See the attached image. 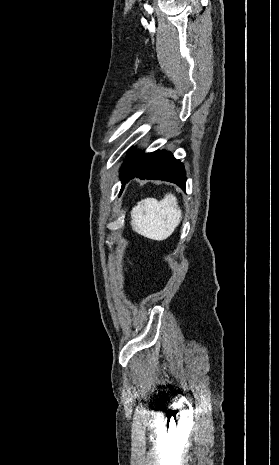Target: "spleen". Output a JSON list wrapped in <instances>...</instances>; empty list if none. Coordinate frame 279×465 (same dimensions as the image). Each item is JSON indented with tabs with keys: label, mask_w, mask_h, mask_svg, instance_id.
Wrapping results in <instances>:
<instances>
[{
	"label": "spleen",
	"mask_w": 279,
	"mask_h": 465,
	"mask_svg": "<svg viewBox=\"0 0 279 465\" xmlns=\"http://www.w3.org/2000/svg\"><path fill=\"white\" fill-rule=\"evenodd\" d=\"M131 225L134 231L149 239L165 240L179 225L182 212L173 194L165 195L160 202L146 198L131 212Z\"/></svg>",
	"instance_id": "1"
}]
</instances>
